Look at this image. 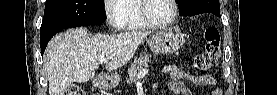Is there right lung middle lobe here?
I'll return each instance as SVG.
<instances>
[{"mask_svg":"<svg viewBox=\"0 0 277 95\" xmlns=\"http://www.w3.org/2000/svg\"><path fill=\"white\" fill-rule=\"evenodd\" d=\"M105 19L103 0H46L40 34L55 29L98 25Z\"/></svg>","mask_w":277,"mask_h":95,"instance_id":"obj_1","label":"right lung middle lobe"}]
</instances>
